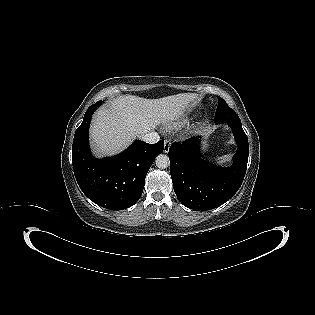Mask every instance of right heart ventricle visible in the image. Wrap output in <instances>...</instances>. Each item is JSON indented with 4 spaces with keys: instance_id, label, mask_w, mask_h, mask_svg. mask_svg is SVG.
<instances>
[{
    "instance_id": "right-heart-ventricle-1",
    "label": "right heart ventricle",
    "mask_w": 315,
    "mask_h": 315,
    "mask_svg": "<svg viewBox=\"0 0 315 315\" xmlns=\"http://www.w3.org/2000/svg\"><path fill=\"white\" fill-rule=\"evenodd\" d=\"M188 121H189L188 116L180 117V118L174 120L173 122L169 123L168 128H170V129L179 128V127L185 125Z\"/></svg>"
}]
</instances>
